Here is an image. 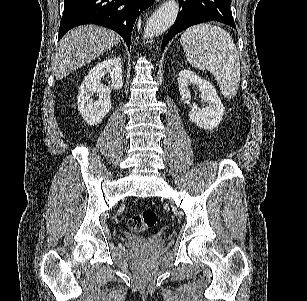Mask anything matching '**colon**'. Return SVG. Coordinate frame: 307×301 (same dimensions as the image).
<instances>
[{"instance_id":"colon-1","label":"colon","mask_w":307,"mask_h":301,"mask_svg":"<svg viewBox=\"0 0 307 301\" xmlns=\"http://www.w3.org/2000/svg\"><path fill=\"white\" fill-rule=\"evenodd\" d=\"M157 222L155 211L146 209L128 220V228L133 232H143L153 228Z\"/></svg>"}]
</instances>
